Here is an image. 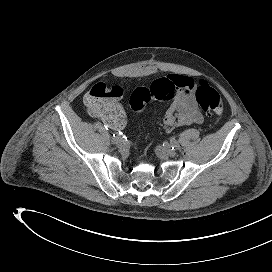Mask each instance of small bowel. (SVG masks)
<instances>
[{
	"label": "small bowel",
	"mask_w": 272,
	"mask_h": 272,
	"mask_svg": "<svg viewBox=\"0 0 272 272\" xmlns=\"http://www.w3.org/2000/svg\"><path fill=\"white\" fill-rule=\"evenodd\" d=\"M168 77L176 82L178 90L161 119V125L170 132L178 126L201 124L204 116L193 94L194 81L184 75ZM102 120L113 130H121L126 125V115L119 103L118 110L108 117H103Z\"/></svg>",
	"instance_id": "1"
}]
</instances>
